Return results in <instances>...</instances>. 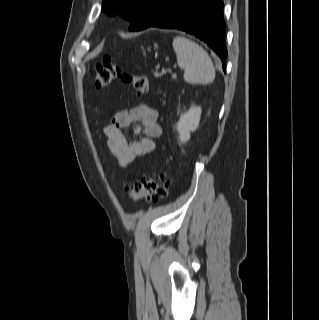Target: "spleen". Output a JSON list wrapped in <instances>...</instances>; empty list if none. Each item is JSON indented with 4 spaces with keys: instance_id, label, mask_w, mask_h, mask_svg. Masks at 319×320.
<instances>
[{
    "instance_id": "1",
    "label": "spleen",
    "mask_w": 319,
    "mask_h": 320,
    "mask_svg": "<svg viewBox=\"0 0 319 320\" xmlns=\"http://www.w3.org/2000/svg\"><path fill=\"white\" fill-rule=\"evenodd\" d=\"M178 66L184 70V80L191 84L214 81L215 68L207 52L195 42L181 36L173 40Z\"/></svg>"
}]
</instances>
